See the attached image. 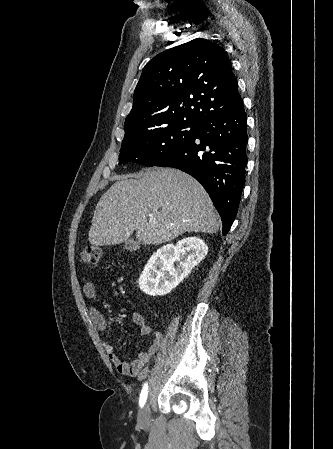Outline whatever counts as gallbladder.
<instances>
[{
  "instance_id": "obj_1",
  "label": "gallbladder",
  "mask_w": 333,
  "mask_h": 449,
  "mask_svg": "<svg viewBox=\"0 0 333 449\" xmlns=\"http://www.w3.org/2000/svg\"><path fill=\"white\" fill-rule=\"evenodd\" d=\"M139 248V242L133 239H129L125 241L124 249L128 251H135Z\"/></svg>"
}]
</instances>
